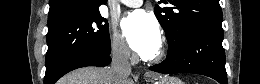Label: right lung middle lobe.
Masks as SVG:
<instances>
[{
	"instance_id": "1",
	"label": "right lung middle lobe",
	"mask_w": 260,
	"mask_h": 84,
	"mask_svg": "<svg viewBox=\"0 0 260 84\" xmlns=\"http://www.w3.org/2000/svg\"><path fill=\"white\" fill-rule=\"evenodd\" d=\"M47 44L46 74L77 54L111 53L108 23L99 11L48 28Z\"/></svg>"
}]
</instances>
